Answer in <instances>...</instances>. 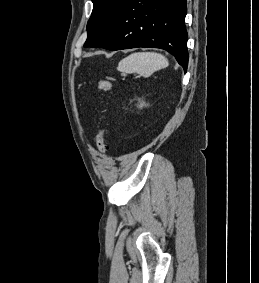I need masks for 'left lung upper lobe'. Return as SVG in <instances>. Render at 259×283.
Listing matches in <instances>:
<instances>
[{"label":"left lung upper lobe","instance_id":"left-lung-upper-lobe-1","mask_svg":"<svg viewBox=\"0 0 259 283\" xmlns=\"http://www.w3.org/2000/svg\"><path fill=\"white\" fill-rule=\"evenodd\" d=\"M126 0H92L93 11L87 24L84 47L97 43L108 31Z\"/></svg>","mask_w":259,"mask_h":283}]
</instances>
